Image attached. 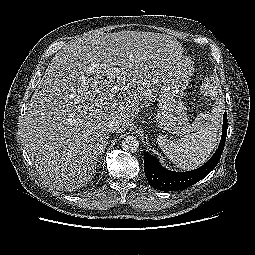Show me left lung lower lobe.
Returning <instances> with one entry per match:
<instances>
[{
	"label": "left lung lower lobe",
	"mask_w": 255,
	"mask_h": 255,
	"mask_svg": "<svg viewBox=\"0 0 255 255\" xmlns=\"http://www.w3.org/2000/svg\"><path fill=\"white\" fill-rule=\"evenodd\" d=\"M227 128V115L225 113L223 116L222 137L218 149L208 162L192 171H170L164 168L156 157L144 152L145 175L151 186L160 191L184 190L207 176L216 167L221 157L226 141Z\"/></svg>",
	"instance_id": "1"
}]
</instances>
